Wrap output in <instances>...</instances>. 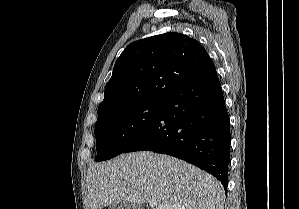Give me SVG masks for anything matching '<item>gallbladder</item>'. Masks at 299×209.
<instances>
[{
  "mask_svg": "<svg viewBox=\"0 0 299 209\" xmlns=\"http://www.w3.org/2000/svg\"><path fill=\"white\" fill-rule=\"evenodd\" d=\"M110 209H141V207L137 204L123 201L118 204L112 205Z\"/></svg>",
  "mask_w": 299,
  "mask_h": 209,
  "instance_id": "gallbladder-1",
  "label": "gallbladder"
}]
</instances>
